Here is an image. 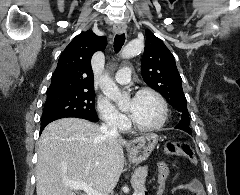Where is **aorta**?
Listing matches in <instances>:
<instances>
[{"instance_id":"762f6f07","label":"aorta","mask_w":240,"mask_h":195,"mask_svg":"<svg viewBox=\"0 0 240 195\" xmlns=\"http://www.w3.org/2000/svg\"><path fill=\"white\" fill-rule=\"evenodd\" d=\"M144 48L143 42H137V40H132V42H129L125 48L122 50L121 58H134V56H137V54H140ZM102 92L106 98L113 99V101H116V103H120L122 99V94L116 86L115 82L111 80L110 76L108 74H104L102 80Z\"/></svg>"}]
</instances>
